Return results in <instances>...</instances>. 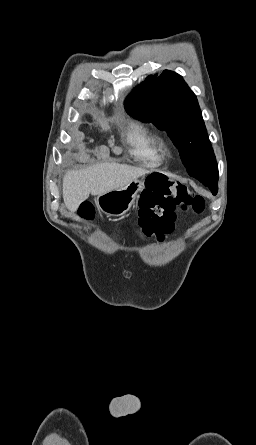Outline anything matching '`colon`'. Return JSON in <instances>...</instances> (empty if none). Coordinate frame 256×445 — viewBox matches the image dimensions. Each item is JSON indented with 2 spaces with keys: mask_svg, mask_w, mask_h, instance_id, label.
Masks as SVG:
<instances>
[{
  "mask_svg": "<svg viewBox=\"0 0 256 445\" xmlns=\"http://www.w3.org/2000/svg\"><path fill=\"white\" fill-rule=\"evenodd\" d=\"M204 207V199L187 186L161 175H153L148 178L147 187L139 197V233L163 239L172 231L177 209L201 214ZM79 213L82 218L91 220L94 217L93 206L84 202Z\"/></svg>",
  "mask_w": 256,
  "mask_h": 445,
  "instance_id": "obj_1",
  "label": "colon"
}]
</instances>
